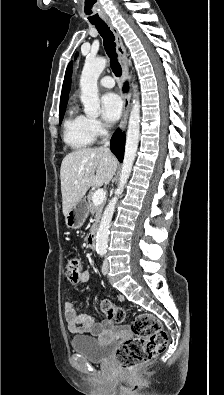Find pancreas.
Here are the masks:
<instances>
[{
  "label": "pancreas",
  "mask_w": 224,
  "mask_h": 395,
  "mask_svg": "<svg viewBox=\"0 0 224 395\" xmlns=\"http://www.w3.org/2000/svg\"><path fill=\"white\" fill-rule=\"evenodd\" d=\"M93 194H94L93 192H90L87 197L88 199L87 211L88 213L95 215V222L91 228V231H93L96 228L98 222L100 221L101 214L105 205V202H102L100 205L95 206L92 201Z\"/></svg>",
  "instance_id": "pancreas-1"
}]
</instances>
